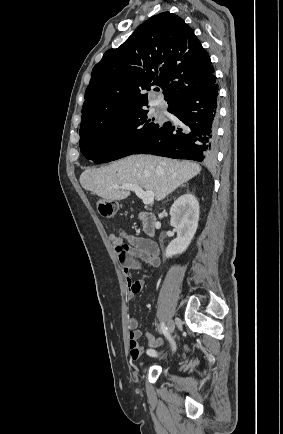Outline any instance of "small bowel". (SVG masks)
Wrapping results in <instances>:
<instances>
[{
	"label": "small bowel",
	"instance_id": "small-bowel-1",
	"mask_svg": "<svg viewBox=\"0 0 283 434\" xmlns=\"http://www.w3.org/2000/svg\"><path fill=\"white\" fill-rule=\"evenodd\" d=\"M110 240L115 247L116 255L126 274V284L130 297L139 293L145 286L143 279L133 280L130 272L137 270L145 273L151 272L160 264L159 249L157 245L147 239L125 234H111ZM143 261L149 269H144L140 263ZM129 326V347L130 356L133 360L139 359L145 352L140 346L139 339L144 336L147 339L149 349L157 348L163 344L162 338H156L148 331H142L138 328V322L135 318H130ZM148 350V349H147Z\"/></svg>",
	"mask_w": 283,
	"mask_h": 434
}]
</instances>
